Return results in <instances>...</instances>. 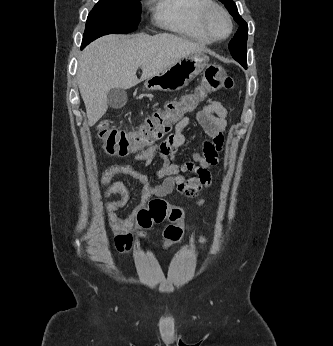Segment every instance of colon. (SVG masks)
<instances>
[{"instance_id":"1","label":"colon","mask_w":333,"mask_h":346,"mask_svg":"<svg viewBox=\"0 0 333 346\" xmlns=\"http://www.w3.org/2000/svg\"><path fill=\"white\" fill-rule=\"evenodd\" d=\"M232 84V79L219 65L210 64L205 69L202 84L195 91L184 94L178 100L167 102L162 109L148 116L135 129H117L108 123H102L99 127L101 143L105 151L111 155L125 156L140 151L163 138L172 125L187 113L194 111L207 94L221 89H230ZM182 217L183 211L180 208L171 206L161 199L151 200L136 214L137 224L141 229H149L166 220L171 223L164 232L166 246L181 240L183 236Z\"/></svg>"}]
</instances>
